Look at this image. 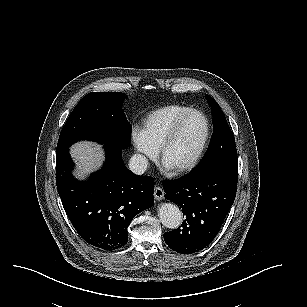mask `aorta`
I'll return each mask as SVG.
<instances>
[{
	"label": "aorta",
	"mask_w": 307,
	"mask_h": 307,
	"mask_svg": "<svg viewBox=\"0 0 307 307\" xmlns=\"http://www.w3.org/2000/svg\"><path fill=\"white\" fill-rule=\"evenodd\" d=\"M158 216L166 228L176 229L182 224V212L172 203H163L158 208Z\"/></svg>",
	"instance_id": "1"
}]
</instances>
